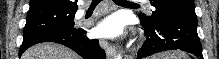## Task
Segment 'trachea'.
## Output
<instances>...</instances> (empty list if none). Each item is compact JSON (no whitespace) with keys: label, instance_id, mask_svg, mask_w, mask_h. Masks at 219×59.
<instances>
[{"label":"trachea","instance_id":"3493384b","mask_svg":"<svg viewBox=\"0 0 219 59\" xmlns=\"http://www.w3.org/2000/svg\"><path fill=\"white\" fill-rule=\"evenodd\" d=\"M114 3L116 4H120V3H126V4H135L133 2L127 1V0H113ZM101 2V0H93L90 7H95L97 6L99 3Z\"/></svg>","mask_w":219,"mask_h":59}]
</instances>
